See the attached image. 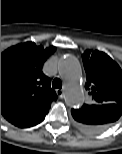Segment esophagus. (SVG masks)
Instances as JSON below:
<instances>
[{
    "instance_id": "34e87169",
    "label": "esophagus",
    "mask_w": 122,
    "mask_h": 154,
    "mask_svg": "<svg viewBox=\"0 0 122 154\" xmlns=\"http://www.w3.org/2000/svg\"><path fill=\"white\" fill-rule=\"evenodd\" d=\"M56 94L58 95L59 98H63L64 97V91L62 89H57L56 90Z\"/></svg>"
}]
</instances>
